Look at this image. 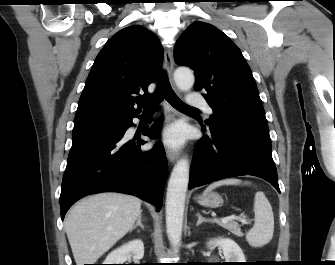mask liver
Listing matches in <instances>:
<instances>
[{
	"label": "liver",
	"mask_w": 335,
	"mask_h": 265,
	"mask_svg": "<svg viewBox=\"0 0 335 265\" xmlns=\"http://www.w3.org/2000/svg\"><path fill=\"white\" fill-rule=\"evenodd\" d=\"M140 213L141 200L120 193H100L77 203L65 219L76 265L94 264L131 230Z\"/></svg>",
	"instance_id": "1"
}]
</instances>
